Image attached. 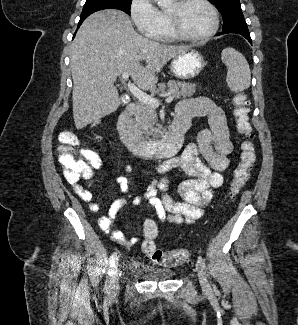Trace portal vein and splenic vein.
<instances>
[{
  "instance_id": "obj_1",
  "label": "portal vein and splenic vein",
  "mask_w": 298,
  "mask_h": 325,
  "mask_svg": "<svg viewBox=\"0 0 298 325\" xmlns=\"http://www.w3.org/2000/svg\"><path fill=\"white\" fill-rule=\"evenodd\" d=\"M122 78L124 80H129V72H123ZM127 86L132 92L133 96H136L140 102H144V104H149V106H152V108H158L160 104V100L158 98H155V96H150V94H147V92H143V90H140L136 84H132V82H127ZM164 96H167L165 98V102H172L174 100V96H172V92H168V94H164Z\"/></svg>"
}]
</instances>
